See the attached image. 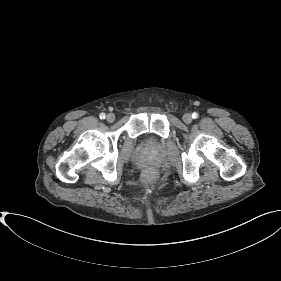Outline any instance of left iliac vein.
I'll list each match as a JSON object with an SVG mask.
<instances>
[{
	"label": "left iliac vein",
	"instance_id": "4c4485c4",
	"mask_svg": "<svg viewBox=\"0 0 281 281\" xmlns=\"http://www.w3.org/2000/svg\"><path fill=\"white\" fill-rule=\"evenodd\" d=\"M183 121L187 124L192 122V116L189 113L183 115Z\"/></svg>",
	"mask_w": 281,
	"mask_h": 281
}]
</instances>
